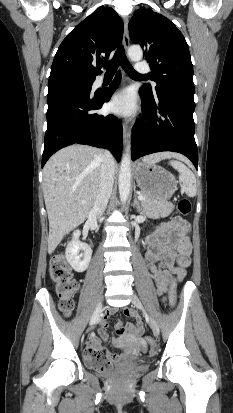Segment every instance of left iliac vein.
Here are the masks:
<instances>
[{
    "instance_id": "1",
    "label": "left iliac vein",
    "mask_w": 233,
    "mask_h": 413,
    "mask_svg": "<svg viewBox=\"0 0 233 413\" xmlns=\"http://www.w3.org/2000/svg\"><path fill=\"white\" fill-rule=\"evenodd\" d=\"M131 300H132V303L134 304V306H136L138 309L142 310L143 312H146L141 300L138 298L137 295L133 294L132 297H131ZM148 322H149V325L152 329V332H153L154 336L158 337L159 334H160V329H159V326H158L157 322L150 315H148Z\"/></svg>"
}]
</instances>
